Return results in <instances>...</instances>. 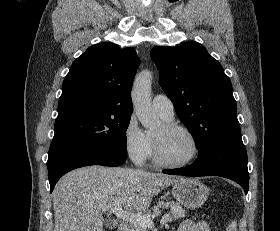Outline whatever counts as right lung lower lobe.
Segmentation results:
<instances>
[{"instance_id": "98d812e1", "label": "right lung lower lobe", "mask_w": 280, "mask_h": 231, "mask_svg": "<svg viewBox=\"0 0 280 231\" xmlns=\"http://www.w3.org/2000/svg\"><path fill=\"white\" fill-rule=\"evenodd\" d=\"M126 157L72 140L52 141L47 162L50 192L67 172L89 165L119 166Z\"/></svg>"}]
</instances>
